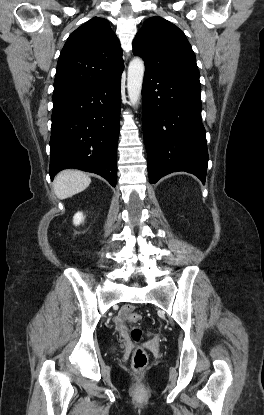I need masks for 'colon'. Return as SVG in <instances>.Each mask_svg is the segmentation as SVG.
<instances>
[{
	"label": "colon",
	"mask_w": 264,
	"mask_h": 415,
	"mask_svg": "<svg viewBox=\"0 0 264 415\" xmlns=\"http://www.w3.org/2000/svg\"><path fill=\"white\" fill-rule=\"evenodd\" d=\"M142 320V314L138 311H133L131 310L129 315H128V321L131 324H138L140 323ZM143 336L142 331L138 328L135 327L132 330V338L135 341H139ZM148 355L147 353L142 350V349H137L135 350L134 354H133V358H132V366L135 372L137 373H141L144 371V369L147 367L148 365Z\"/></svg>",
	"instance_id": "obj_1"
}]
</instances>
